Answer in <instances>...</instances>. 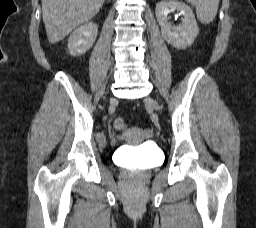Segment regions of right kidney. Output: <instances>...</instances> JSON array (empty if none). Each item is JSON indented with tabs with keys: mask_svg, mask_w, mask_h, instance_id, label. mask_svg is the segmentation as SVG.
I'll use <instances>...</instances> for the list:
<instances>
[{
	"mask_svg": "<svg viewBox=\"0 0 256 228\" xmlns=\"http://www.w3.org/2000/svg\"><path fill=\"white\" fill-rule=\"evenodd\" d=\"M98 32L95 23H87L77 28L68 39V50L73 56L82 55L94 44Z\"/></svg>",
	"mask_w": 256,
	"mask_h": 228,
	"instance_id": "1",
	"label": "right kidney"
}]
</instances>
